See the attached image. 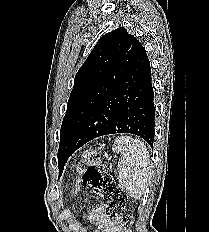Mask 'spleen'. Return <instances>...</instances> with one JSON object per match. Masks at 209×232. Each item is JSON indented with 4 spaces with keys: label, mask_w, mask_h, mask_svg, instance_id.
<instances>
[{
    "label": "spleen",
    "mask_w": 209,
    "mask_h": 232,
    "mask_svg": "<svg viewBox=\"0 0 209 232\" xmlns=\"http://www.w3.org/2000/svg\"><path fill=\"white\" fill-rule=\"evenodd\" d=\"M113 150L121 154L118 162L119 180L127 193L140 199L149 177V153L145 144L129 136L117 137Z\"/></svg>",
    "instance_id": "3e777b00"
}]
</instances>
